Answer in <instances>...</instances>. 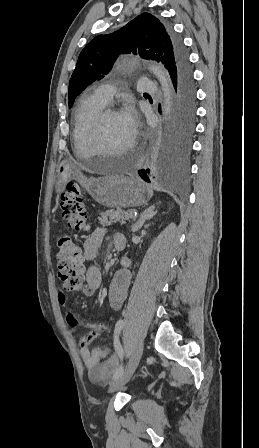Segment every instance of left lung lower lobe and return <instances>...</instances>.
Returning a JSON list of instances; mask_svg holds the SVG:
<instances>
[{"label": "left lung lower lobe", "mask_w": 259, "mask_h": 448, "mask_svg": "<svg viewBox=\"0 0 259 448\" xmlns=\"http://www.w3.org/2000/svg\"><path fill=\"white\" fill-rule=\"evenodd\" d=\"M175 41L179 54L175 63L168 68L176 92L175 114L167 150L161 161L151 170L155 183L173 190L181 188L188 176L196 117V92L192 70L180 39L175 37ZM147 173H150V169L138 171L140 177L150 183Z\"/></svg>", "instance_id": "obj_1"}]
</instances>
